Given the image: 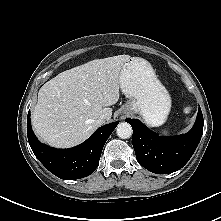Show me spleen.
<instances>
[{"label": "spleen", "instance_id": "1", "mask_svg": "<svg viewBox=\"0 0 221 221\" xmlns=\"http://www.w3.org/2000/svg\"><path fill=\"white\" fill-rule=\"evenodd\" d=\"M190 110H191L190 107H186V108L184 109V112H185V113H189ZM162 133L165 134V135L168 134V132H167L166 130H164Z\"/></svg>", "mask_w": 221, "mask_h": 221}]
</instances>
